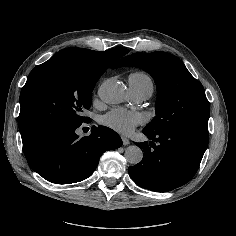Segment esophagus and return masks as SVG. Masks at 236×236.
Listing matches in <instances>:
<instances>
[{"instance_id": "esophagus-1", "label": "esophagus", "mask_w": 236, "mask_h": 236, "mask_svg": "<svg viewBox=\"0 0 236 236\" xmlns=\"http://www.w3.org/2000/svg\"><path fill=\"white\" fill-rule=\"evenodd\" d=\"M121 139H122L123 145H128V144H130V140H129L127 137L121 136Z\"/></svg>"}]
</instances>
